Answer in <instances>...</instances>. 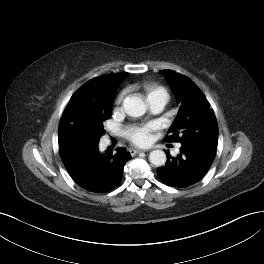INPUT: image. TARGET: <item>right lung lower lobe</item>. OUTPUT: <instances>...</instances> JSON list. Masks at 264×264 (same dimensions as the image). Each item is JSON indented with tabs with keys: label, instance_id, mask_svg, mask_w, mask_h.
<instances>
[{
	"label": "right lung lower lobe",
	"instance_id": "1",
	"mask_svg": "<svg viewBox=\"0 0 264 264\" xmlns=\"http://www.w3.org/2000/svg\"><path fill=\"white\" fill-rule=\"evenodd\" d=\"M98 143L99 140L90 139L59 141V151L66 170L80 187L104 193L119 185L131 155L124 147L117 148L116 153H102Z\"/></svg>",
	"mask_w": 264,
	"mask_h": 264
}]
</instances>
